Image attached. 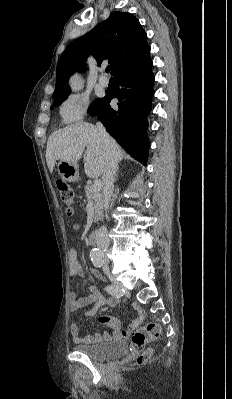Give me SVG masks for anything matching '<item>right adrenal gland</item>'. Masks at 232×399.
Here are the masks:
<instances>
[{
	"instance_id": "1",
	"label": "right adrenal gland",
	"mask_w": 232,
	"mask_h": 399,
	"mask_svg": "<svg viewBox=\"0 0 232 399\" xmlns=\"http://www.w3.org/2000/svg\"><path fill=\"white\" fill-rule=\"evenodd\" d=\"M117 178H118V170H116V174L114 176V182H116Z\"/></svg>"
}]
</instances>
